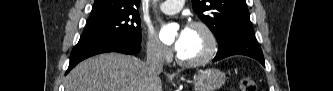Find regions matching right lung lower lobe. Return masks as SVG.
<instances>
[{"label":"right lung lower lobe","mask_w":333,"mask_h":91,"mask_svg":"<svg viewBox=\"0 0 333 91\" xmlns=\"http://www.w3.org/2000/svg\"><path fill=\"white\" fill-rule=\"evenodd\" d=\"M140 42L130 41L120 36H84L72 50L69 67L66 74L80 61L96 54L105 52H120L136 54L140 51Z\"/></svg>","instance_id":"1"}]
</instances>
